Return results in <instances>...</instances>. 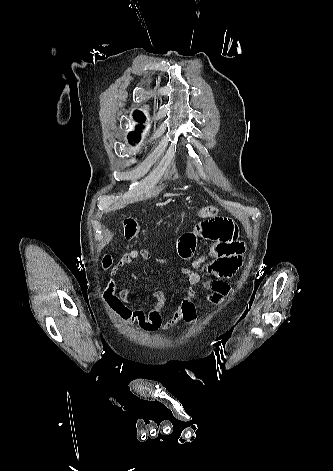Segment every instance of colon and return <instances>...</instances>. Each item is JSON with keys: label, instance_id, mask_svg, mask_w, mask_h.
I'll return each instance as SVG.
<instances>
[{"label": "colon", "instance_id": "1", "mask_svg": "<svg viewBox=\"0 0 333 471\" xmlns=\"http://www.w3.org/2000/svg\"><path fill=\"white\" fill-rule=\"evenodd\" d=\"M199 215L203 217H212L218 215V208L215 206H206L200 209ZM140 226L136 220L128 218L123 221V235L125 239L132 240L139 235ZM111 263L110 257L104 258V265L109 266Z\"/></svg>", "mask_w": 333, "mask_h": 471}]
</instances>
